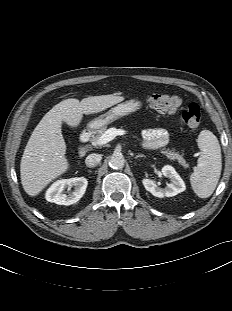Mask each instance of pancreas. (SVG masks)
<instances>
[{"instance_id":"1","label":"pancreas","mask_w":232,"mask_h":311,"mask_svg":"<svg viewBox=\"0 0 232 311\" xmlns=\"http://www.w3.org/2000/svg\"><path fill=\"white\" fill-rule=\"evenodd\" d=\"M107 127H103L100 130H98L96 132L95 135H92L90 141L93 145H96V143L98 142L99 138L107 131ZM168 159L170 160H177L178 163L182 166H187L186 161L183 157V155H181L179 152H175L174 150H169V149H163L161 151Z\"/></svg>"}]
</instances>
